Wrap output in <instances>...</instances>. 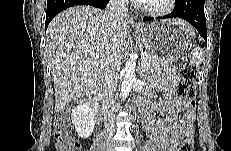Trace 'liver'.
<instances>
[{
    "label": "liver",
    "mask_w": 231,
    "mask_h": 151,
    "mask_svg": "<svg viewBox=\"0 0 231 151\" xmlns=\"http://www.w3.org/2000/svg\"><path fill=\"white\" fill-rule=\"evenodd\" d=\"M181 28L191 26L173 19ZM124 23L112 31L106 12L93 6H74L58 14L46 33V54L55 88V112L62 111L72 100L88 95L100 85L108 57L120 56L127 44Z\"/></svg>",
    "instance_id": "6515ba94"
}]
</instances>
